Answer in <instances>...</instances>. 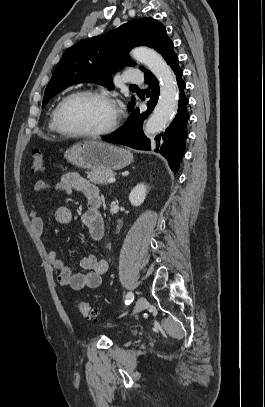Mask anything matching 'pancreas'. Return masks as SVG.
<instances>
[{"label": "pancreas", "mask_w": 265, "mask_h": 407, "mask_svg": "<svg viewBox=\"0 0 265 407\" xmlns=\"http://www.w3.org/2000/svg\"><path fill=\"white\" fill-rule=\"evenodd\" d=\"M111 173L102 170H92L87 173V178L94 184L103 185L111 177Z\"/></svg>", "instance_id": "obj_1"}]
</instances>
